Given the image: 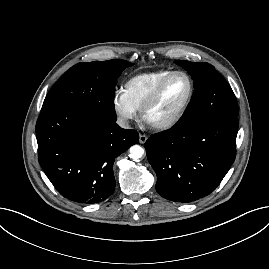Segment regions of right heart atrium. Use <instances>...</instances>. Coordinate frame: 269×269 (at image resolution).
I'll use <instances>...</instances> for the list:
<instances>
[{
	"label": "right heart atrium",
	"instance_id": "obj_1",
	"mask_svg": "<svg viewBox=\"0 0 269 269\" xmlns=\"http://www.w3.org/2000/svg\"><path fill=\"white\" fill-rule=\"evenodd\" d=\"M113 110L122 125H128L137 114V110L130 104L122 90H116L112 97Z\"/></svg>",
	"mask_w": 269,
	"mask_h": 269
}]
</instances>
